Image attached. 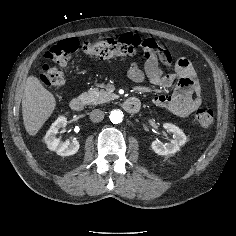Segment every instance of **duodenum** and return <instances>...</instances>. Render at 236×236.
I'll list each match as a JSON object with an SVG mask.
<instances>
[{
  "instance_id": "1",
  "label": "duodenum",
  "mask_w": 236,
  "mask_h": 236,
  "mask_svg": "<svg viewBox=\"0 0 236 236\" xmlns=\"http://www.w3.org/2000/svg\"><path fill=\"white\" fill-rule=\"evenodd\" d=\"M73 111L79 112L84 108V101L79 97L73 98L69 103ZM141 103L136 97H129L123 102V108L128 113H137L140 109Z\"/></svg>"
}]
</instances>
